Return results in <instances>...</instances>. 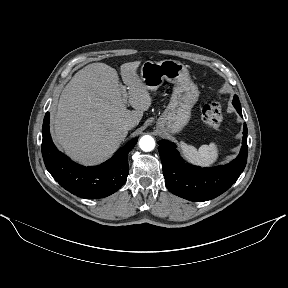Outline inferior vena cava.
Instances as JSON below:
<instances>
[{
  "label": "inferior vena cava",
  "mask_w": 288,
  "mask_h": 288,
  "mask_svg": "<svg viewBox=\"0 0 288 288\" xmlns=\"http://www.w3.org/2000/svg\"><path fill=\"white\" fill-rule=\"evenodd\" d=\"M137 124L134 120H128L125 122V124L123 125V128L125 130H130L132 129L133 127H135Z\"/></svg>",
  "instance_id": "1"
}]
</instances>
